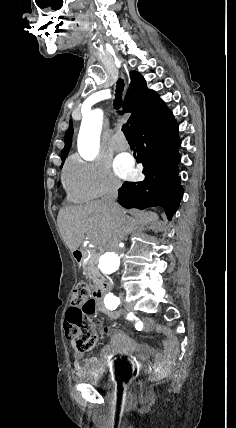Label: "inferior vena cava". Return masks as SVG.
I'll use <instances>...</instances> for the list:
<instances>
[{
    "label": "inferior vena cava",
    "mask_w": 236,
    "mask_h": 428,
    "mask_svg": "<svg viewBox=\"0 0 236 428\" xmlns=\"http://www.w3.org/2000/svg\"><path fill=\"white\" fill-rule=\"evenodd\" d=\"M119 188V182L118 180H115V178H108V184H107V196H106V206L109 208V210H112L114 214H117V216H121L122 210L118 204H116V198L118 196V190ZM111 250H118V255H123L124 249H111Z\"/></svg>",
    "instance_id": "1"
}]
</instances>
